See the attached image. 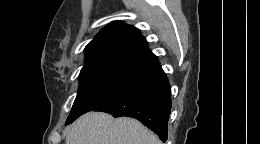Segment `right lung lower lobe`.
Wrapping results in <instances>:
<instances>
[{
	"label": "right lung lower lobe",
	"mask_w": 260,
	"mask_h": 144,
	"mask_svg": "<svg viewBox=\"0 0 260 144\" xmlns=\"http://www.w3.org/2000/svg\"><path fill=\"white\" fill-rule=\"evenodd\" d=\"M92 111L135 118L165 142L168 138L171 90L159 62L139 70L124 87Z\"/></svg>",
	"instance_id": "1"
}]
</instances>
